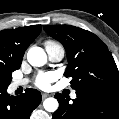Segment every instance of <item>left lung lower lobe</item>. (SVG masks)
I'll return each instance as SVG.
<instances>
[{
    "label": "left lung lower lobe",
    "instance_id": "obj_1",
    "mask_svg": "<svg viewBox=\"0 0 119 119\" xmlns=\"http://www.w3.org/2000/svg\"><path fill=\"white\" fill-rule=\"evenodd\" d=\"M77 98L69 103L60 93L53 119H119V93L110 91H76Z\"/></svg>",
    "mask_w": 119,
    "mask_h": 119
}]
</instances>
